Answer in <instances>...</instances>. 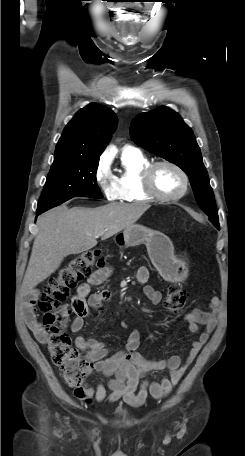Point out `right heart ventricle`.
Returning a JSON list of instances; mask_svg holds the SVG:
<instances>
[{
    "instance_id": "obj_1",
    "label": "right heart ventricle",
    "mask_w": 245,
    "mask_h": 456,
    "mask_svg": "<svg viewBox=\"0 0 245 456\" xmlns=\"http://www.w3.org/2000/svg\"><path fill=\"white\" fill-rule=\"evenodd\" d=\"M150 163L149 159L138 150H123L121 164L123 170L115 177L119 197L123 202H146L152 198L143 190L142 170Z\"/></svg>"
}]
</instances>
